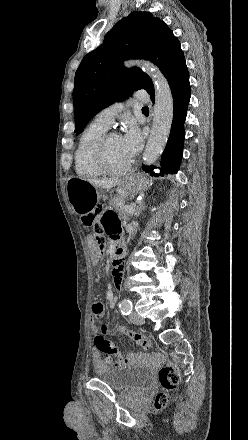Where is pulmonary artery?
<instances>
[{"instance_id": "1", "label": "pulmonary artery", "mask_w": 248, "mask_h": 440, "mask_svg": "<svg viewBox=\"0 0 248 440\" xmlns=\"http://www.w3.org/2000/svg\"><path fill=\"white\" fill-rule=\"evenodd\" d=\"M135 97L140 101H145L147 99V94L144 91L139 90L135 93ZM122 109L123 103L115 102L97 113L95 121L100 125L109 128L113 124L114 118L122 111Z\"/></svg>"}]
</instances>
